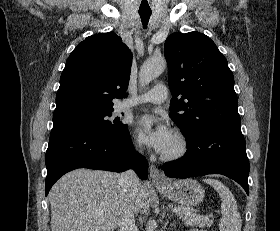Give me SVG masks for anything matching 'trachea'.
<instances>
[{"label": "trachea", "mask_w": 280, "mask_h": 231, "mask_svg": "<svg viewBox=\"0 0 280 231\" xmlns=\"http://www.w3.org/2000/svg\"><path fill=\"white\" fill-rule=\"evenodd\" d=\"M151 13V10H139V15L141 17L144 28L147 27Z\"/></svg>", "instance_id": "3493384b"}]
</instances>
